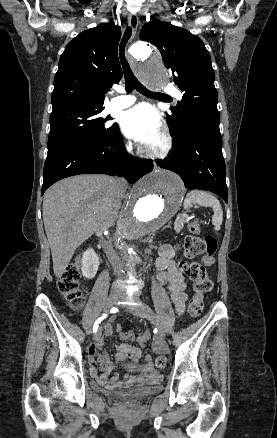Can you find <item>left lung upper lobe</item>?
I'll return each mask as SVG.
<instances>
[{"mask_svg": "<svg viewBox=\"0 0 277 438\" xmlns=\"http://www.w3.org/2000/svg\"><path fill=\"white\" fill-rule=\"evenodd\" d=\"M140 39L159 49L165 66L172 70L173 79L183 92L182 100L166 114L174 138L179 140L193 114L207 106L217 108L210 54L196 35L157 20L142 27Z\"/></svg>", "mask_w": 277, "mask_h": 438, "instance_id": "obj_1", "label": "left lung upper lobe"}]
</instances>
